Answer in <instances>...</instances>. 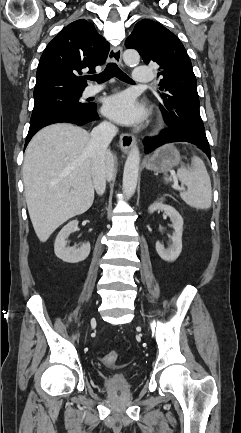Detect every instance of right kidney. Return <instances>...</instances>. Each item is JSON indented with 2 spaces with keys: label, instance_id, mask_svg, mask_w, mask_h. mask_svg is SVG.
I'll list each match as a JSON object with an SVG mask.
<instances>
[{
  "label": "right kidney",
  "instance_id": "1",
  "mask_svg": "<svg viewBox=\"0 0 241 433\" xmlns=\"http://www.w3.org/2000/svg\"><path fill=\"white\" fill-rule=\"evenodd\" d=\"M78 221L73 220L65 225L56 237L54 244L55 255L68 263H78L85 260L90 253V243L83 244L80 248L67 247L66 239L77 228Z\"/></svg>",
  "mask_w": 241,
  "mask_h": 433
}]
</instances>
